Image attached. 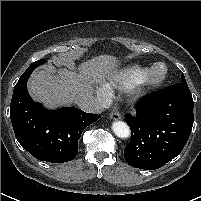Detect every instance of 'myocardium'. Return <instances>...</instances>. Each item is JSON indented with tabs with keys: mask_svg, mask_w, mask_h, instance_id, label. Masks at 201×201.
I'll return each instance as SVG.
<instances>
[{
	"mask_svg": "<svg viewBox=\"0 0 201 201\" xmlns=\"http://www.w3.org/2000/svg\"><path fill=\"white\" fill-rule=\"evenodd\" d=\"M157 66H162L164 71L163 73L156 78L152 77V72ZM168 76V68L164 63H155L150 67L144 76L134 85L133 87V97L137 100L145 98L152 90L161 86Z\"/></svg>",
	"mask_w": 201,
	"mask_h": 201,
	"instance_id": "obj_1",
	"label": "myocardium"
}]
</instances>
